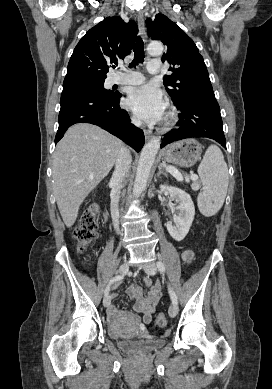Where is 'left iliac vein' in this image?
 <instances>
[{
    "mask_svg": "<svg viewBox=\"0 0 272 389\" xmlns=\"http://www.w3.org/2000/svg\"><path fill=\"white\" fill-rule=\"evenodd\" d=\"M144 271L149 274V275H155L156 274V271H157V268L154 264L150 263L148 265H145L144 266ZM178 313V307L176 304H172L170 307H169V315L170 317H175Z\"/></svg>",
    "mask_w": 272,
    "mask_h": 389,
    "instance_id": "4c4485c4",
    "label": "left iliac vein"
}]
</instances>
